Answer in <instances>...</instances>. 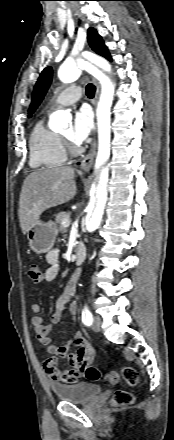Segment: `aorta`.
Segmentation results:
<instances>
[{
  "instance_id": "1",
  "label": "aorta",
  "mask_w": 174,
  "mask_h": 440,
  "mask_svg": "<svg viewBox=\"0 0 174 440\" xmlns=\"http://www.w3.org/2000/svg\"><path fill=\"white\" fill-rule=\"evenodd\" d=\"M83 59L95 64L103 71L110 73L111 67L104 58L88 54L83 55ZM81 59H67L59 70V77L63 82H73L81 74ZM110 99H104L98 106V127H99V151L96 161L95 179L92 188V196L88 205V214L86 217V228L89 232L95 231L101 223L104 209L107 201V183H108V157L109 150V124H110ZM70 115L65 111H56L50 117L49 126L52 130L66 128Z\"/></svg>"
}]
</instances>
